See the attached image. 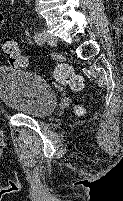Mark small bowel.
<instances>
[{"label":"small bowel","mask_w":123,"mask_h":201,"mask_svg":"<svg viewBox=\"0 0 123 201\" xmlns=\"http://www.w3.org/2000/svg\"><path fill=\"white\" fill-rule=\"evenodd\" d=\"M4 22H5V15L2 12H0V27L4 24Z\"/></svg>","instance_id":"obj_1"}]
</instances>
